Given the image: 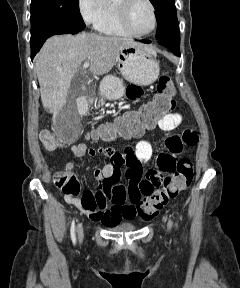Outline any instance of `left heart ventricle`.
Segmentation results:
<instances>
[{
    "mask_svg": "<svg viewBox=\"0 0 240 288\" xmlns=\"http://www.w3.org/2000/svg\"><path fill=\"white\" fill-rule=\"evenodd\" d=\"M120 3L122 0H115ZM130 23L138 33L149 32L153 27V15L150 6L143 0H137L130 9Z\"/></svg>",
    "mask_w": 240,
    "mask_h": 288,
    "instance_id": "left-heart-ventricle-1",
    "label": "left heart ventricle"
}]
</instances>
